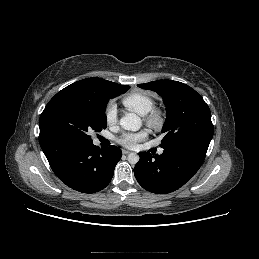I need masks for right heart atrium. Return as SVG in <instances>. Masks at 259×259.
<instances>
[{
    "mask_svg": "<svg viewBox=\"0 0 259 259\" xmlns=\"http://www.w3.org/2000/svg\"><path fill=\"white\" fill-rule=\"evenodd\" d=\"M117 106L114 101H109L105 107V118L108 124H114L117 121Z\"/></svg>",
    "mask_w": 259,
    "mask_h": 259,
    "instance_id": "obj_1",
    "label": "right heart atrium"
}]
</instances>
